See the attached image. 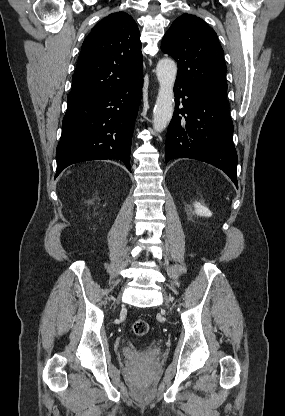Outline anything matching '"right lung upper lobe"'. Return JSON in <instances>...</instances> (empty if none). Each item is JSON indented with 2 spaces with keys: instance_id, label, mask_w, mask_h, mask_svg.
I'll use <instances>...</instances> for the list:
<instances>
[{
  "instance_id": "1",
  "label": "right lung upper lobe",
  "mask_w": 285,
  "mask_h": 416,
  "mask_svg": "<svg viewBox=\"0 0 285 416\" xmlns=\"http://www.w3.org/2000/svg\"><path fill=\"white\" fill-rule=\"evenodd\" d=\"M143 76L140 32L125 12L98 22L83 42L68 107L104 97Z\"/></svg>"
}]
</instances>
